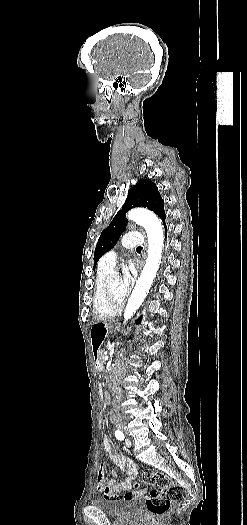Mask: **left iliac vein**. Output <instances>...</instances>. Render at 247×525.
Segmentation results:
<instances>
[{
    "mask_svg": "<svg viewBox=\"0 0 247 525\" xmlns=\"http://www.w3.org/2000/svg\"><path fill=\"white\" fill-rule=\"evenodd\" d=\"M125 445H126L127 447H130V446L132 445L131 440L128 439V438H126V439H125Z\"/></svg>",
    "mask_w": 247,
    "mask_h": 525,
    "instance_id": "left-iliac-vein-1",
    "label": "left iliac vein"
}]
</instances>
